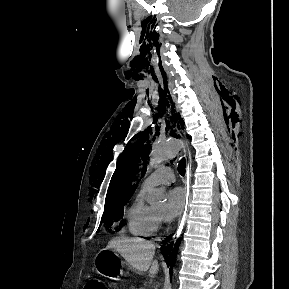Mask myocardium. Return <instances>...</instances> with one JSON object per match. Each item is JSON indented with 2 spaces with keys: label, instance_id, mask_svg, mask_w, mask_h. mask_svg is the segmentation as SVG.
I'll list each match as a JSON object with an SVG mask.
<instances>
[{
  "label": "myocardium",
  "instance_id": "1",
  "mask_svg": "<svg viewBox=\"0 0 289 289\" xmlns=\"http://www.w3.org/2000/svg\"><path fill=\"white\" fill-rule=\"evenodd\" d=\"M151 213H152V215H153L156 223H157V224L160 223L161 217H160L159 215H157V214L152 210V208H151Z\"/></svg>",
  "mask_w": 289,
  "mask_h": 289
}]
</instances>
